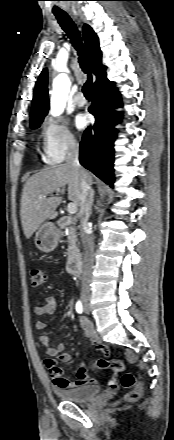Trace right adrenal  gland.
<instances>
[{"mask_svg":"<svg viewBox=\"0 0 174 440\" xmlns=\"http://www.w3.org/2000/svg\"><path fill=\"white\" fill-rule=\"evenodd\" d=\"M93 201H94V191H93V194H92V205H93Z\"/></svg>","mask_w":174,"mask_h":440,"instance_id":"right-adrenal-gland-1","label":"right adrenal gland"}]
</instances>
